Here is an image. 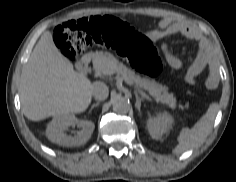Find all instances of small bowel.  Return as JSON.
Masks as SVG:
<instances>
[{
	"label": "small bowel",
	"instance_id": "small-bowel-1",
	"mask_svg": "<svg viewBox=\"0 0 236 182\" xmlns=\"http://www.w3.org/2000/svg\"><path fill=\"white\" fill-rule=\"evenodd\" d=\"M181 34L187 39L197 40L199 35L197 31L189 26L188 24L176 20L171 17H164L158 23V28L148 31L145 36L154 44H158L159 48L168 63L169 66L175 69L183 67L185 61L171 52L168 45L163 42V39L167 36ZM191 64L183 77V82L187 85H194L197 76L200 74L202 69L205 67L207 62V54L205 45H201L198 54L192 58ZM208 87H213V82L209 79L207 81Z\"/></svg>",
	"mask_w": 236,
	"mask_h": 182
}]
</instances>
